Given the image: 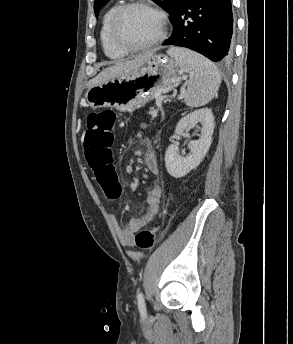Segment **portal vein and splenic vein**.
I'll use <instances>...</instances> for the list:
<instances>
[{
	"label": "portal vein and splenic vein",
	"instance_id": "1",
	"mask_svg": "<svg viewBox=\"0 0 293 344\" xmlns=\"http://www.w3.org/2000/svg\"><path fill=\"white\" fill-rule=\"evenodd\" d=\"M165 97H159V98H157V105H158V107L161 105V101L164 99ZM157 115V111H154V112H152V116L154 117V116H156Z\"/></svg>",
	"mask_w": 293,
	"mask_h": 344
}]
</instances>
